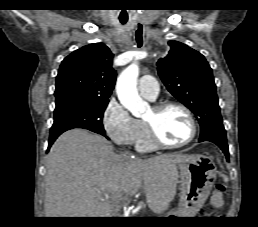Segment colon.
Masks as SVG:
<instances>
[{"label": "colon", "instance_id": "colon-1", "mask_svg": "<svg viewBox=\"0 0 258 227\" xmlns=\"http://www.w3.org/2000/svg\"><path fill=\"white\" fill-rule=\"evenodd\" d=\"M224 193L225 186L222 184H217L213 191V204L216 207H220L222 205Z\"/></svg>", "mask_w": 258, "mask_h": 227}]
</instances>
